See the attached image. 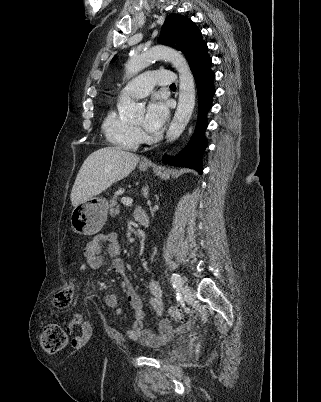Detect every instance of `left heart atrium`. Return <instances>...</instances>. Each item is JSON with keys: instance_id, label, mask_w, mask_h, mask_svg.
I'll return each instance as SVG.
<instances>
[{"instance_id": "39dd6f15", "label": "left heart atrium", "mask_w": 321, "mask_h": 402, "mask_svg": "<svg viewBox=\"0 0 321 402\" xmlns=\"http://www.w3.org/2000/svg\"><path fill=\"white\" fill-rule=\"evenodd\" d=\"M169 116L167 105L158 98L152 99L147 107L144 119L145 129L152 133H158Z\"/></svg>"}]
</instances>
